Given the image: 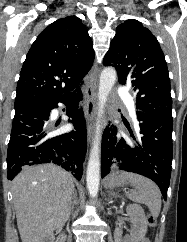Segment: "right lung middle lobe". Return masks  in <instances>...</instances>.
Returning <instances> with one entry per match:
<instances>
[{"mask_svg": "<svg viewBox=\"0 0 187 242\" xmlns=\"http://www.w3.org/2000/svg\"><path fill=\"white\" fill-rule=\"evenodd\" d=\"M37 106H27V107H19V108H15V116H19L29 110H32L34 108H36Z\"/></svg>", "mask_w": 187, "mask_h": 242, "instance_id": "obj_1", "label": "right lung middle lobe"}]
</instances>
